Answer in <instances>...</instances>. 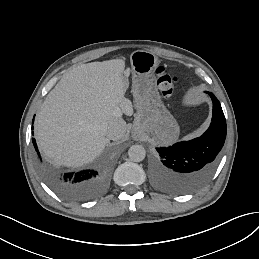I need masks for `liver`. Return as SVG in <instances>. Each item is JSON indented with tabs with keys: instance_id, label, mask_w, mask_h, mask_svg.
<instances>
[{
	"instance_id": "liver-1",
	"label": "liver",
	"mask_w": 259,
	"mask_h": 259,
	"mask_svg": "<svg viewBox=\"0 0 259 259\" xmlns=\"http://www.w3.org/2000/svg\"><path fill=\"white\" fill-rule=\"evenodd\" d=\"M124 69V60L113 59L82 64L62 76L34 122V137L44 156L78 167L101 154L108 139L100 125L121 119V113L132 115L124 97Z\"/></svg>"
}]
</instances>
